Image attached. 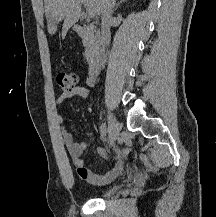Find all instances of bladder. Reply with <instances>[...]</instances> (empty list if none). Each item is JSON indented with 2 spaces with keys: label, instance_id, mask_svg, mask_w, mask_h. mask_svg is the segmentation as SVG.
<instances>
[{
  "label": "bladder",
  "instance_id": "31cf9c89",
  "mask_svg": "<svg viewBox=\"0 0 216 217\" xmlns=\"http://www.w3.org/2000/svg\"><path fill=\"white\" fill-rule=\"evenodd\" d=\"M121 188V185H114L106 190H103L98 193L101 198H108L117 193Z\"/></svg>",
  "mask_w": 216,
  "mask_h": 217
}]
</instances>
